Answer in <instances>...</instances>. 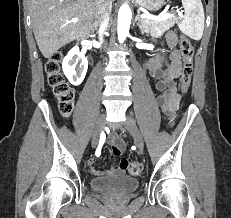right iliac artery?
Instances as JSON below:
<instances>
[{"instance_id": "1", "label": "right iliac artery", "mask_w": 231, "mask_h": 218, "mask_svg": "<svg viewBox=\"0 0 231 218\" xmlns=\"http://www.w3.org/2000/svg\"><path fill=\"white\" fill-rule=\"evenodd\" d=\"M105 138H106V137H105V133L102 132L101 135H100L99 146H98V148H97V150H96V152H95V155H96L97 157L100 156V154H101V148H102V145L104 144Z\"/></svg>"}]
</instances>
